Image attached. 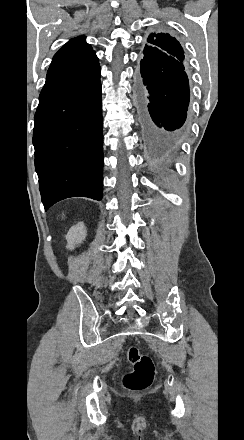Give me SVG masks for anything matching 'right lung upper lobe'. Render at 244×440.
Wrapping results in <instances>:
<instances>
[{
	"mask_svg": "<svg viewBox=\"0 0 244 440\" xmlns=\"http://www.w3.org/2000/svg\"><path fill=\"white\" fill-rule=\"evenodd\" d=\"M98 63V58L85 42V37L80 36L66 43L53 57L48 73L73 66L90 67Z\"/></svg>",
	"mask_w": 244,
	"mask_h": 440,
	"instance_id": "right-lung-upper-lobe-1",
	"label": "right lung upper lobe"
}]
</instances>
